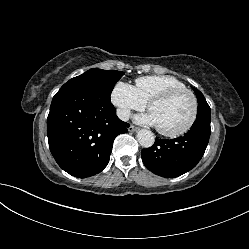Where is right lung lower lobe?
Segmentation results:
<instances>
[{
	"label": "right lung lower lobe",
	"instance_id": "1",
	"mask_svg": "<svg viewBox=\"0 0 249 249\" xmlns=\"http://www.w3.org/2000/svg\"><path fill=\"white\" fill-rule=\"evenodd\" d=\"M129 126L110 101L80 87L62 86L47 118L49 148L64 171L90 177L107 166L115 137Z\"/></svg>",
	"mask_w": 249,
	"mask_h": 249
}]
</instances>
